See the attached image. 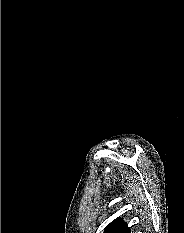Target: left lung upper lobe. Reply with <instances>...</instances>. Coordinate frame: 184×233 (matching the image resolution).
I'll list each match as a JSON object with an SVG mask.
<instances>
[{
    "label": "left lung upper lobe",
    "mask_w": 184,
    "mask_h": 233,
    "mask_svg": "<svg viewBox=\"0 0 184 233\" xmlns=\"http://www.w3.org/2000/svg\"><path fill=\"white\" fill-rule=\"evenodd\" d=\"M104 233H130V228L121 218H116L106 226Z\"/></svg>",
    "instance_id": "5c2ea615"
}]
</instances>
